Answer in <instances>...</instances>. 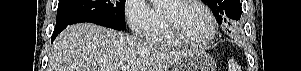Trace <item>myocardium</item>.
I'll list each match as a JSON object with an SVG mask.
<instances>
[{"label": "myocardium", "mask_w": 301, "mask_h": 71, "mask_svg": "<svg viewBox=\"0 0 301 71\" xmlns=\"http://www.w3.org/2000/svg\"><path fill=\"white\" fill-rule=\"evenodd\" d=\"M169 2H172L176 5H183V4H195L199 7H201L207 16L209 17V20L211 22V33L208 36L207 39L203 41H192L187 39L184 34L182 33L179 25L175 22V20L172 18V16L162 8V14L165 20V24L167 27L168 32L170 35L176 40L179 44H182L184 46H189V47H196V48H203L208 45H210L214 39L217 36L218 32V24L217 20L212 13V11L202 2L199 0H169Z\"/></svg>", "instance_id": "1"}]
</instances>
